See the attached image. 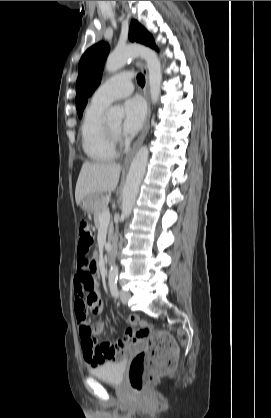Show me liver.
<instances>
[{
  "instance_id": "1",
  "label": "liver",
  "mask_w": 271,
  "mask_h": 418,
  "mask_svg": "<svg viewBox=\"0 0 271 418\" xmlns=\"http://www.w3.org/2000/svg\"><path fill=\"white\" fill-rule=\"evenodd\" d=\"M120 172V164L84 162L75 189L77 205L89 195L114 191Z\"/></svg>"
}]
</instances>
